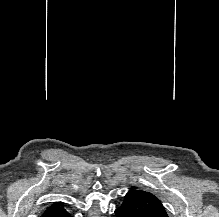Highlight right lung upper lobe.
<instances>
[{
	"instance_id": "right-lung-upper-lobe-1",
	"label": "right lung upper lobe",
	"mask_w": 219,
	"mask_h": 217,
	"mask_svg": "<svg viewBox=\"0 0 219 217\" xmlns=\"http://www.w3.org/2000/svg\"><path fill=\"white\" fill-rule=\"evenodd\" d=\"M62 204H63L62 202H55V203L51 204L49 207L46 208L43 215L46 213H52V212H55V211H58V210L64 208L62 206Z\"/></svg>"
}]
</instances>
